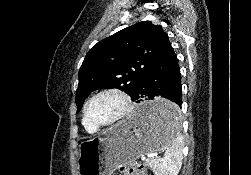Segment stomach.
Here are the masks:
<instances>
[{
  "label": "stomach",
  "mask_w": 251,
  "mask_h": 175,
  "mask_svg": "<svg viewBox=\"0 0 251 175\" xmlns=\"http://www.w3.org/2000/svg\"><path fill=\"white\" fill-rule=\"evenodd\" d=\"M174 100H143L131 117L109 127L101 135L84 139L79 145V175H112L119 165H126L140 155L161 151L182 134Z\"/></svg>",
  "instance_id": "obj_1"
}]
</instances>
